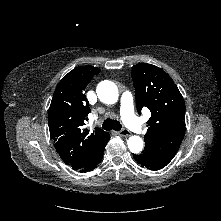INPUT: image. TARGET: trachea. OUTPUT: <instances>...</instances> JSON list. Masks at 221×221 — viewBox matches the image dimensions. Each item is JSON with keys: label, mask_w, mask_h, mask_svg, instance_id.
I'll return each mask as SVG.
<instances>
[{"label": "trachea", "mask_w": 221, "mask_h": 221, "mask_svg": "<svg viewBox=\"0 0 221 221\" xmlns=\"http://www.w3.org/2000/svg\"><path fill=\"white\" fill-rule=\"evenodd\" d=\"M102 128L107 131H109V130L120 131L122 128V125L120 124L119 121L108 118V119L104 120V122L102 124Z\"/></svg>", "instance_id": "obj_1"}]
</instances>
